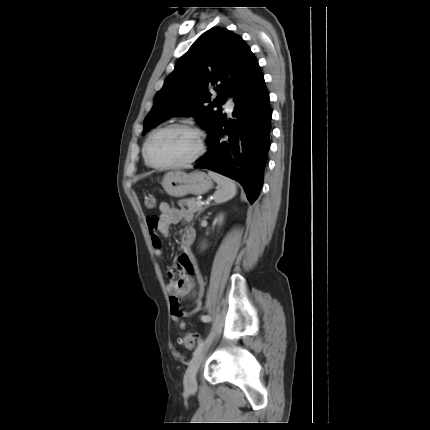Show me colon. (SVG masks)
Here are the masks:
<instances>
[{
	"mask_svg": "<svg viewBox=\"0 0 430 430\" xmlns=\"http://www.w3.org/2000/svg\"><path fill=\"white\" fill-rule=\"evenodd\" d=\"M145 205L147 208H154L156 204L155 196L147 192L145 193ZM199 340V335L196 333H187L182 339L181 343L185 346L188 350H193Z\"/></svg>",
	"mask_w": 430,
	"mask_h": 430,
	"instance_id": "colon-1",
	"label": "colon"
}]
</instances>
